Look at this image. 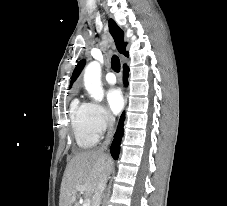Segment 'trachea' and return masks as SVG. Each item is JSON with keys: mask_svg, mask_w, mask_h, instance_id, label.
<instances>
[{"mask_svg": "<svg viewBox=\"0 0 227 206\" xmlns=\"http://www.w3.org/2000/svg\"><path fill=\"white\" fill-rule=\"evenodd\" d=\"M111 67L112 69L115 71V72H119L120 71V60L119 58L114 55L112 57V60H111Z\"/></svg>", "mask_w": 227, "mask_h": 206, "instance_id": "obj_1", "label": "trachea"}]
</instances>
